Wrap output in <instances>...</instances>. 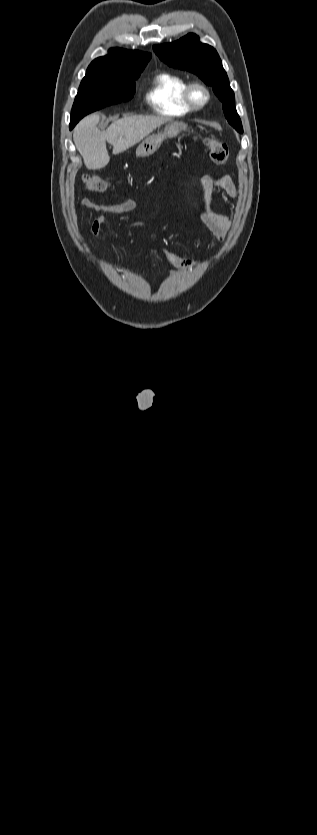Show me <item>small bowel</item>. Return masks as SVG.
Instances as JSON below:
<instances>
[{"mask_svg": "<svg viewBox=\"0 0 317 835\" xmlns=\"http://www.w3.org/2000/svg\"><path fill=\"white\" fill-rule=\"evenodd\" d=\"M216 189L223 191L232 198H235L237 195V188L233 179L228 175L209 174L205 175L201 179V192L204 202V209L201 213L202 223L212 236L219 241H223L231 227V221L226 215L217 212L212 208V195ZM82 205L86 209H90L95 213L89 228V234L91 237H96L98 235L103 222L104 212H130L137 206L133 199H126L109 208L94 205L88 199H84L82 201ZM157 250L176 267L190 269L197 265L196 261L176 255L165 248L159 247Z\"/></svg>", "mask_w": 317, "mask_h": 835, "instance_id": "c3829d8e", "label": "small bowel"}]
</instances>
